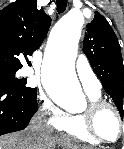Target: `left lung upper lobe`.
<instances>
[{
	"mask_svg": "<svg viewBox=\"0 0 124 149\" xmlns=\"http://www.w3.org/2000/svg\"><path fill=\"white\" fill-rule=\"evenodd\" d=\"M86 27L83 51L123 118L124 65L117 36L108 21L97 11Z\"/></svg>",
	"mask_w": 124,
	"mask_h": 149,
	"instance_id": "obj_1",
	"label": "left lung upper lobe"
}]
</instances>
